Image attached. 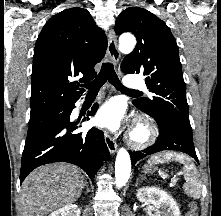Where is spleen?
<instances>
[{
	"mask_svg": "<svg viewBox=\"0 0 221 216\" xmlns=\"http://www.w3.org/2000/svg\"><path fill=\"white\" fill-rule=\"evenodd\" d=\"M175 160L184 165L183 173L186 180L185 191L188 195L198 199L200 197L201 183L198 179V171L194 163L185 155L174 152H163L151 156L149 164H162L166 161Z\"/></svg>",
	"mask_w": 221,
	"mask_h": 216,
	"instance_id": "obj_1",
	"label": "spleen"
}]
</instances>
